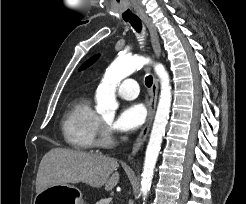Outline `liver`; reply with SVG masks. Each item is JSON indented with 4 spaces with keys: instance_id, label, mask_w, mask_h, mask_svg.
Wrapping results in <instances>:
<instances>
[{
    "instance_id": "6515ba94",
    "label": "liver",
    "mask_w": 246,
    "mask_h": 204,
    "mask_svg": "<svg viewBox=\"0 0 246 204\" xmlns=\"http://www.w3.org/2000/svg\"><path fill=\"white\" fill-rule=\"evenodd\" d=\"M116 159L85 151L53 148L42 158L36 177V193L54 185L85 183L112 190L119 182ZM115 171V172H114Z\"/></svg>"
}]
</instances>
